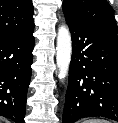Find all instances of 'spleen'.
Wrapping results in <instances>:
<instances>
[{
    "mask_svg": "<svg viewBox=\"0 0 118 123\" xmlns=\"http://www.w3.org/2000/svg\"><path fill=\"white\" fill-rule=\"evenodd\" d=\"M83 123H109V122L103 119H89L84 121Z\"/></svg>",
    "mask_w": 118,
    "mask_h": 123,
    "instance_id": "spleen-1",
    "label": "spleen"
}]
</instances>
